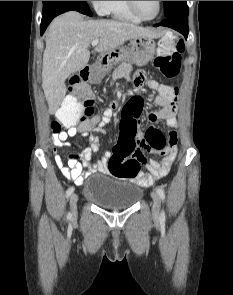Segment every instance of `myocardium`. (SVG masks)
I'll list each match as a JSON object with an SVG mask.
<instances>
[{
  "instance_id": "obj_1",
  "label": "myocardium",
  "mask_w": 233,
  "mask_h": 295,
  "mask_svg": "<svg viewBox=\"0 0 233 295\" xmlns=\"http://www.w3.org/2000/svg\"><path fill=\"white\" fill-rule=\"evenodd\" d=\"M127 4H128V7H129L130 11L140 21H152V20H155L159 16V14L161 12V7H162V1H157L158 7H157V11H156L155 15L153 17H150V18H145V17L141 16L140 13L138 12L135 1H127Z\"/></svg>"
}]
</instances>
